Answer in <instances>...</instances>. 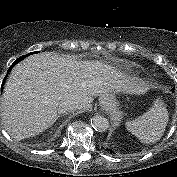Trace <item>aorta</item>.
<instances>
[{"mask_svg": "<svg viewBox=\"0 0 177 177\" xmlns=\"http://www.w3.org/2000/svg\"><path fill=\"white\" fill-rule=\"evenodd\" d=\"M91 125L92 127L98 131V132H104L108 129L109 127V121L107 118L101 115H95L91 119Z\"/></svg>", "mask_w": 177, "mask_h": 177, "instance_id": "obj_1", "label": "aorta"}]
</instances>
